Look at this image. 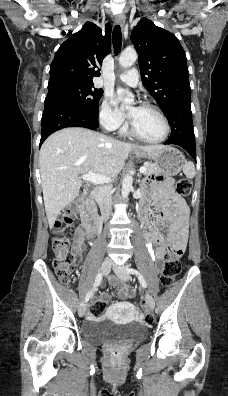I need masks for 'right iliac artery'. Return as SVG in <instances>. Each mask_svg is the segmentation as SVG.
<instances>
[{
	"instance_id": "obj_1",
	"label": "right iliac artery",
	"mask_w": 228,
	"mask_h": 396,
	"mask_svg": "<svg viewBox=\"0 0 228 396\" xmlns=\"http://www.w3.org/2000/svg\"><path fill=\"white\" fill-rule=\"evenodd\" d=\"M102 277H103V274H102V273H99V274L96 276V279H95V283H94V285H93V288L87 293V295H86V297H85V302H87V301L90 299V297L93 295V291H95V290H96V287L101 283Z\"/></svg>"
}]
</instances>
